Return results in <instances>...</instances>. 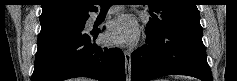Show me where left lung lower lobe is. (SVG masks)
<instances>
[{"mask_svg":"<svg viewBox=\"0 0 237 81\" xmlns=\"http://www.w3.org/2000/svg\"><path fill=\"white\" fill-rule=\"evenodd\" d=\"M132 81H148L166 75H187L212 81L202 42L201 27H173L147 34V45L132 53Z\"/></svg>","mask_w":237,"mask_h":81,"instance_id":"0a47b994","label":"left lung lower lobe"}]
</instances>
